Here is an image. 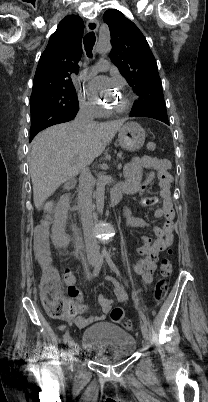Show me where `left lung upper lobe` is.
<instances>
[{"label": "left lung upper lobe", "mask_w": 208, "mask_h": 402, "mask_svg": "<svg viewBox=\"0 0 208 402\" xmlns=\"http://www.w3.org/2000/svg\"><path fill=\"white\" fill-rule=\"evenodd\" d=\"M111 34L110 58L139 96L130 114L168 121L157 63L138 27L120 11L103 16Z\"/></svg>", "instance_id": "5c2ea615"}]
</instances>
